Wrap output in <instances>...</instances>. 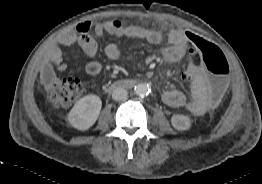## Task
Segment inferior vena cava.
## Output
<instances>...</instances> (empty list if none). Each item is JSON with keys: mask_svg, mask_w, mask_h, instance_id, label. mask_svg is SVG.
<instances>
[{"mask_svg": "<svg viewBox=\"0 0 262 184\" xmlns=\"http://www.w3.org/2000/svg\"><path fill=\"white\" fill-rule=\"evenodd\" d=\"M127 90L123 89V88H116L113 92H112V98L116 101H120L123 100L127 97Z\"/></svg>", "mask_w": 262, "mask_h": 184, "instance_id": "602c4592", "label": "inferior vena cava"}]
</instances>
